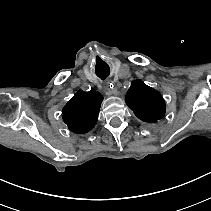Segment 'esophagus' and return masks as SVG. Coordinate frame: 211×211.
I'll return each mask as SVG.
<instances>
[{
  "mask_svg": "<svg viewBox=\"0 0 211 211\" xmlns=\"http://www.w3.org/2000/svg\"><path fill=\"white\" fill-rule=\"evenodd\" d=\"M107 89H108L109 91H111V93H118V90H117L116 88H114L113 90H111V89L109 88V83H107Z\"/></svg>",
  "mask_w": 211,
  "mask_h": 211,
  "instance_id": "1",
  "label": "esophagus"
}]
</instances>
